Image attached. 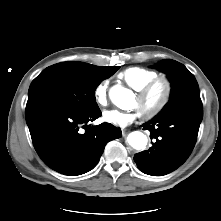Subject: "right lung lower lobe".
Wrapping results in <instances>:
<instances>
[{
    "label": "right lung lower lobe",
    "instance_id": "98d812e1",
    "mask_svg": "<svg viewBox=\"0 0 221 221\" xmlns=\"http://www.w3.org/2000/svg\"><path fill=\"white\" fill-rule=\"evenodd\" d=\"M26 122L33 145L51 169L65 175L84 174L98 163L105 145L121 137L109 123L87 125L100 109L78 112L54 105L26 106Z\"/></svg>",
    "mask_w": 221,
    "mask_h": 221
}]
</instances>
